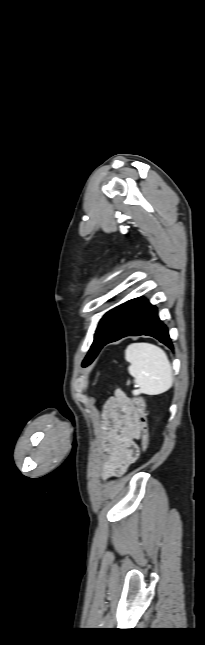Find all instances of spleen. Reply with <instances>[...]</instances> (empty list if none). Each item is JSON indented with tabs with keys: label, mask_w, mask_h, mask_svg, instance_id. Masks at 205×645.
I'll use <instances>...</instances> for the list:
<instances>
[{
	"label": "spleen",
	"mask_w": 205,
	"mask_h": 645,
	"mask_svg": "<svg viewBox=\"0 0 205 645\" xmlns=\"http://www.w3.org/2000/svg\"><path fill=\"white\" fill-rule=\"evenodd\" d=\"M125 359L130 363L128 372L139 387L133 392L135 395H159L172 387V367L160 347L150 343L130 344L125 350Z\"/></svg>",
	"instance_id": "spleen-1"
}]
</instances>
